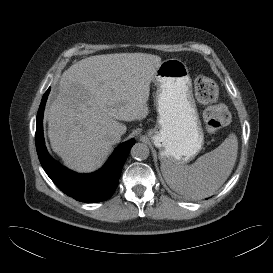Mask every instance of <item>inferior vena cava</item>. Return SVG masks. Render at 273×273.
<instances>
[{"mask_svg":"<svg viewBox=\"0 0 273 273\" xmlns=\"http://www.w3.org/2000/svg\"><path fill=\"white\" fill-rule=\"evenodd\" d=\"M110 140L112 143H118L120 141V135L118 133H112L110 135Z\"/></svg>","mask_w":273,"mask_h":273,"instance_id":"inferior-vena-cava-1","label":"inferior vena cava"}]
</instances>
